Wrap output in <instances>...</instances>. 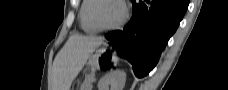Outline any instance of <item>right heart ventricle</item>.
<instances>
[{
	"label": "right heart ventricle",
	"instance_id": "right-heart-ventricle-1",
	"mask_svg": "<svg viewBox=\"0 0 228 90\" xmlns=\"http://www.w3.org/2000/svg\"><path fill=\"white\" fill-rule=\"evenodd\" d=\"M96 4V0H84L81 3L79 10V20L84 32L88 34H94L100 31V29L94 24L92 20V9Z\"/></svg>",
	"mask_w": 228,
	"mask_h": 90
}]
</instances>
